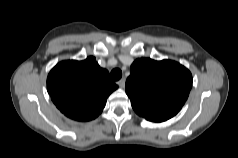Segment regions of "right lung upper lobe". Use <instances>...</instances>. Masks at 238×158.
<instances>
[{
  "label": "right lung upper lobe",
  "mask_w": 238,
  "mask_h": 158,
  "mask_svg": "<svg viewBox=\"0 0 238 158\" xmlns=\"http://www.w3.org/2000/svg\"><path fill=\"white\" fill-rule=\"evenodd\" d=\"M117 88L109 72L93 56L83 61H62L47 78V90L54 104L64 115L77 121L95 119Z\"/></svg>",
  "instance_id": "right-lung-upper-lobe-1"
}]
</instances>
